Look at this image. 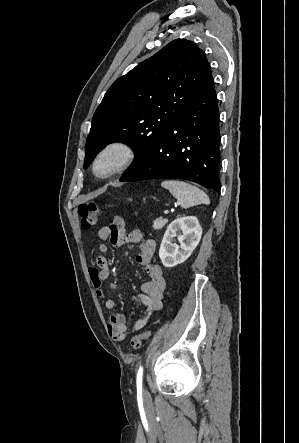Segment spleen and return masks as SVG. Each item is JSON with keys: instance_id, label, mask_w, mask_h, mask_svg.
Returning a JSON list of instances; mask_svg holds the SVG:
<instances>
[{"instance_id": "spleen-1", "label": "spleen", "mask_w": 299, "mask_h": 443, "mask_svg": "<svg viewBox=\"0 0 299 443\" xmlns=\"http://www.w3.org/2000/svg\"><path fill=\"white\" fill-rule=\"evenodd\" d=\"M161 186L168 189L183 208L210 204L209 197L200 188L178 180H165Z\"/></svg>"}]
</instances>
